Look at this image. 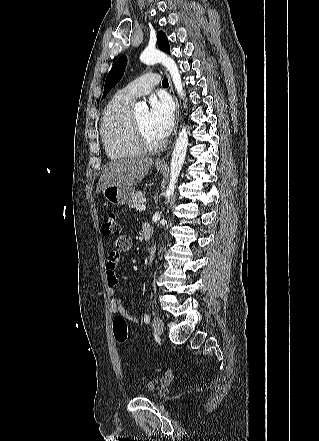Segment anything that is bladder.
Returning <instances> with one entry per match:
<instances>
[{"instance_id":"1","label":"bladder","mask_w":319,"mask_h":441,"mask_svg":"<svg viewBox=\"0 0 319 441\" xmlns=\"http://www.w3.org/2000/svg\"><path fill=\"white\" fill-rule=\"evenodd\" d=\"M157 384L154 381L148 382L145 387V393L147 395H154L157 393Z\"/></svg>"}]
</instances>
